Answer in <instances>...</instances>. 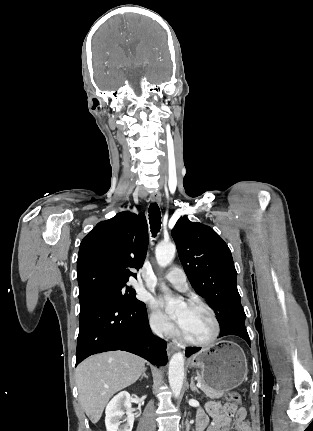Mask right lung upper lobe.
I'll return each instance as SVG.
<instances>
[{"mask_svg": "<svg viewBox=\"0 0 313 431\" xmlns=\"http://www.w3.org/2000/svg\"><path fill=\"white\" fill-rule=\"evenodd\" d=\"M148 226L144 215L129 211L98 223L79 248L77 278L79 298L95 294L104 287L126 284L145 259Z\"/></svg>", "mask_w": 313, "mask_h": 431, "instance_id": "cb5924a9", "label": "right lung upper lobe"}]
</instances>
